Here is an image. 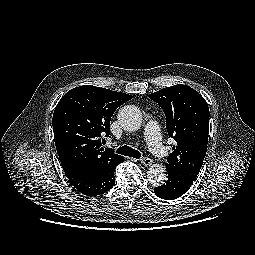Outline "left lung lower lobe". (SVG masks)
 Listing matches in <instances>:
<instances>
[{
	"label": "left lung lower lobe",
	"mask_w": 255,
	"mask_h": 255,
	"mask_svg": "<svg viewBox=\"0 0 255 255\" xmlns=\"http://www.w3.org/2000/svg\"><path fill=\"white\" fill-rule=\"evenodd\" d=\"M166 169L168 180L165 181V184L155 187L154 193L162 199H177L189 190L195 179L168 166Z\"/></svg>",
	"instance_id": "left-lung-lower-lobe-1"
}]
</instances>
